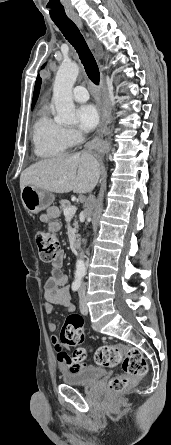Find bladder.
<instances>
[{
    "label": "bladder",
    "instance_id": "bladder-1",
    "mask_svg": "<svg viewBox=\"0 0 171 445\" xmlns=\"http://www.w3.org/2000/svg\"><path fill=\"white\" fill-rule=\"evenodd\" d=\"M107 374L103 368L84 366L74 371H64L62 381L67 385L88 386L97 382Z\"/></svg>",
    "mask_w": 171,
    "mask_h": 445
}]
</instances>
